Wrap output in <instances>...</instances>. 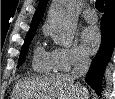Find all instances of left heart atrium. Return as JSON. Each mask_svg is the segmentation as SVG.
<instances>
[{
    "instance_id": "left-heart-atrium-1",
    "label": "left heart atrium",
    "mask_w": 115,
    "mask_h": 99,
    "mask_svg": "<svg viewBox=\"0 0 115 99\" xmlns=\"http://www.w3.org/2000/svg\"><path fill=\"white\" fill-rule=\"evenodd\" d=\"M100 32L97 27L89 26L82 33V42L88 52H95L100 44Z\"/></svg>"
}]
</instances>
